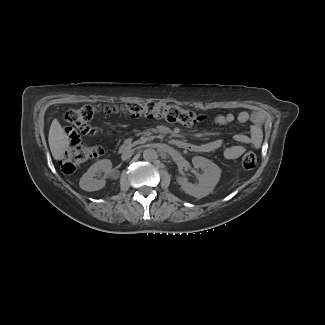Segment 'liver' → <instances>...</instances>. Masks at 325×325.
I'll use <instances>...</instances> for the list:
<instances>
[{
    "label": "liver",
    "instance_id": "6515ba94",
    "mask_svg": "<svg viewBox=\"0 0 325 325\" xmlns=\"http://www.w3.org/2000/svg\"><path fill=\"white\" fill-rule=\"evenodd\" d=\"M48 141L53 158L55 160L61 159L70 142L57 119H54L51 123Z\"/></svg>",
    "mask_w": 325,
    "mask_h": 325
}]
</instances>
